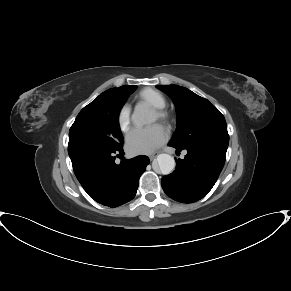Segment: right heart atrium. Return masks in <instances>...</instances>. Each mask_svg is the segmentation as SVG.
<instances>
[{"mask_svg": "<svg viewBox=\"0 0 291 291\" xmlns=\"http://www.w3.org/2000/svg\"><path fill=\"white\" fill-rule=\"evenodd\" d=\"M131 121V108L128 105H124L118 115V124L123 132H127Z\"/></svg>", "mask_w": 291, "mask_h": 291, "instance_id": "right-heart-atrium-1", "label": "right heart atrium"}]
</instances>
